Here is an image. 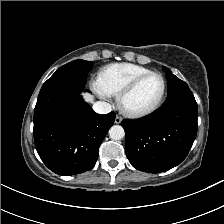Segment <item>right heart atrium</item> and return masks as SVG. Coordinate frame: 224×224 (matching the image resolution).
<instances>
[{
    "label": "right heart atrium",
    "instance_id": "d8ad5b80",
    "mask_svg": "<svg viewBox=\"0 0 224 224\" xmlns=\"http://www.w3.org/2000/svg\"><path fill=\"white\" fill-rule=\"evenodd\" d=\"M92 87H93L94 91H95L99 96H101V97H103V98H108V97H109V94L106 93V92L101 88L100 83H99L98 80L93 81V83H92Z\"/></svg>",
    "mask_w": 224,
    "mask_h": 224
}]
</instances>
